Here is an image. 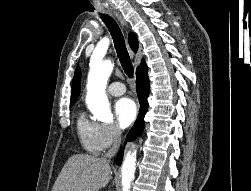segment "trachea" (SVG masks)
<instances>
[{
    "label": "trachea",
    "instance_id": "obj_1",
    "mask_svg": "<svg viewBox=\"0 0 251 191\" xmlns=\"http://www.w3.org/2000/svg\"><path fill=\"white\" fill-rule=\"evenodd\" d=\"M101 18L112 36L118 58L120 60L124 72L129 78H132L134 73V68L125 45L124 36L119 26L117 25L115 20H113V18L110 17L109 15H102Z\"/></svg>",
    "mask_w": 251,
    "mask_h": 191
}]
</instances>
